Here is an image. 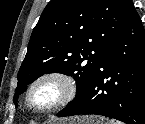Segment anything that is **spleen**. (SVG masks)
<instances>
[{
	"label": "spleen",
	"mask_w": 145,
	"mask_h": 124,
	"mask_svg": "<svg viewBox=\"0 0 145 124\" xmlns=\"http://www.w3.org/2000/svg\"><path fill=\"white\" fill-rule=\"evenodd\" d=\"M111 124H122V123L112 121Z\"/></svg>",
	"instance_id": "spleen-1"
}]
</instances>
